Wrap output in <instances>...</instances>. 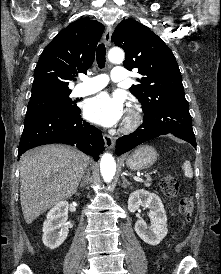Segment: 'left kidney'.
<instances>
[{
	"label": "left kidney",
	"instance_id": "left-kidney-1",
	"mask_svg": "<svg viewBox=\"0 0 221 274\" xmlns=\"http://www.w3.org/2000/svg\"><path fill=\"white\" fill-rule=\"evenodd\" d=\"M140 206L150 209L151 226L147 227L145 221L139 219L135 223V231L145 243L158 245L168 232L163 203L156 194L140 189L130 194L128 210L134 213Z\"/></svg>",
	"mask_w": 221,
	"mask_h": 274
}]
</instances>
